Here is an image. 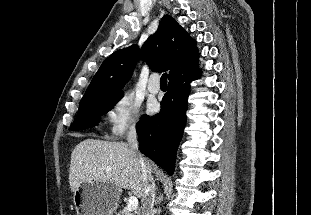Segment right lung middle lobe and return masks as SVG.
<instances>
[{"mask_svg": "<svg viewBox=\"0 0 311 215\" xmlns=\"http://www.w3.org/2000/svg\"><path fill=\"white\" fill-rule=\"evenodd\" d=\"M123 97L121 95L98 97L83 103H80L79 111L71 130H82L94 127L100 121V117L111 110Z\"/></svg>", "mask_w": 311, "mask_h": 215, "instance_id": "right-lung-middle-lobe-1", "label": "right lung middle lobe"}]
</instances>
